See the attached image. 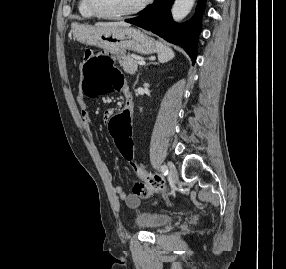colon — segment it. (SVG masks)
<instances>
[{
    "mask_svg": "<svg viewBox=\"0 0 286 269\" xmlns=\"http://www.w3.org/2000/svg\"><path fill=\"white\" fill-rule=\"evenodd\" d=\"M129 49H100L97 55L87 49L84 53V64L82 66V88L86 94H97L102 92L120 89L124 83L121 71L115 62H123L128 59ZM109 138H113V148H117L116 155L119 159H125L126 168H133L136 175L141 178V163L136 161V140L130 137L132 121V111H127V107L111 113L108 117ZM145 183H135L133 193L137 196L147 195L150 188L161 186V180L146 173Z\"/></svg>",
    "mask_w": 286,
    "mask_h": 269,
    "instance_id": "colon-1",
    "label": "colon"
}]
</instances>
